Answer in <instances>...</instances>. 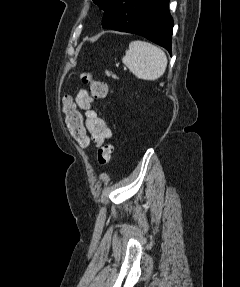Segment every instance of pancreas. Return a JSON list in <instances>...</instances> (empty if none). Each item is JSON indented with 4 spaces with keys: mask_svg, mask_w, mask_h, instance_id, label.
I'll return each instance as SVG.
<instances>
[{
    "mask_svg": "<svg viewBox=\"0 0 240 287\" xmlns=\"http://www.w3.org/2000/svg\"><path fill=\"white\" fill-rule=\"evenodd\" d=\"M107 75L114 78V79H117V76L115 74H113L112 72H107Z\"/></svg>",
    "mask_w": 240,
    "mask_h": 287,
    "instance_id": "cf45deb5",
    "label": "pancreas"
}]
</instances>
